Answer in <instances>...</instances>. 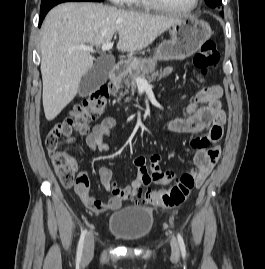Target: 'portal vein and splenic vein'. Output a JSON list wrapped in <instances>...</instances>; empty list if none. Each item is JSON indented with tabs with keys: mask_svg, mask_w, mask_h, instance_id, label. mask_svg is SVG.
I'll list each match as a JSON object with an SVG mask.
<instances>
[{
	"mask_svg": "<svg viewBox=\"0 0 265 269\" xmlns=\"http://www.w3.org/2000/svg\"><path fill=\"white\" fill-rule=\"evenodd\" d=\"M113 47V43L112 42H107V43H104L102 45V51H109L110 49H112ZM79 50L81 51H85V52H95V50L93 49V47H89V46H85V45H81L78 47ZM136 82L138 84H148L147 80L146 79H143V78H140V77H137L136 78Z\"/></svg>",
	"mask_w": 265,
	"mask_h": 269,
	"instance_id": "18ae733b",
	"label": "portal vein and splenic vein"
}]
</instances>
